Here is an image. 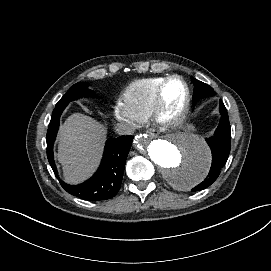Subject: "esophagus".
<instances>
[{"instance_id": "34e87169", "label": "esophagus", "mask_w": 271, "mask_h": 271, "mask_svg": "<svg viewBox=\"0 0 271 271\" xmlns=\"http://www.w3.org/2000/svg\"><path fill=\"white\" fill-rule=\"evenodd\" d=\"M146 132L151 138H156L159 135L158 130H156L155 128H149Z\"/></svg>"}]
</instances>
